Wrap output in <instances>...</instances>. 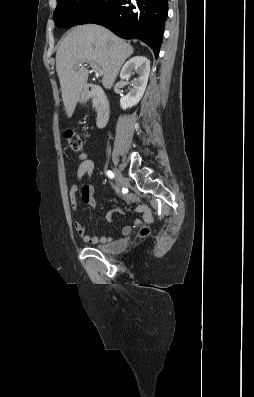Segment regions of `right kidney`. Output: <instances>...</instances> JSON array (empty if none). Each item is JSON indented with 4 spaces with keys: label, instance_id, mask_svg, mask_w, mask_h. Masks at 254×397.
Wrapping results in <instances>:
<instances>
[{
    "label": "right kidney",
    "instance_id": "1",
    "mask_svg": "<svg viewBox=\"0 0 254 397\" xmlns=\"http://www.w3.org/2000/svg\"><path fill=\"white\" fill-rule=\"evenodd\" d=\"M133 72L138 73L130 92L122 96L120 106L123 110L135 106L142 98L150 73V61L144 56H135L125 63L120 72L121 79H129Z\"/></svg>",
    "mask_w": 254,
    "mask_h": 397
}]
</instances>
